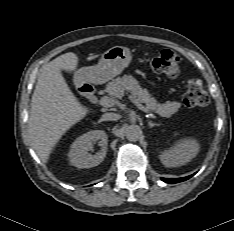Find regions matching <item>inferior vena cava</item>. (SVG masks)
<instances>
[{"label":"inferior vena cava","mask_w":234,"mask_h":231,"mask_svg":"<svg viewBox=\"0 0 234 231\" xmlns=\"http://www.w3.org/2000/svg\"><path fill=\"white\" fill-rule=\"evenodd\" d=\"M102 119L106 121H116L120 119V115L116 113H105L102 115Z\"/></svg>","instance_id":"inferior-vena-cava-1"}]
</instances>
